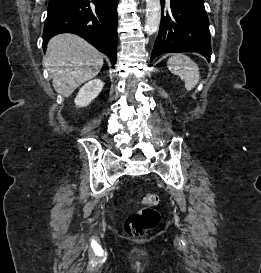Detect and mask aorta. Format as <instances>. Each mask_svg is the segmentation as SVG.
I'll return each mask as SVG.
<instances>
[{
	"instance_id": "762f6f07",
	"label": "aorta",
	"mask_w": 261,
	"mask_h": 273,
	"mask_svg": "<svg viewBox=\"0 0 261 273\" xmlns=\"http://www.w3.org/2000/svg\"><path fill=\"white\" fill-rule=\"evenodd\" d=\"M161 20L160 0H146V22L145 30L152 34L159 28Z\"/></svg>"
}]
</instances>
